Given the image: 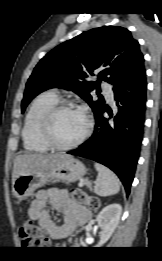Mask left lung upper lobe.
I'll return each instance as SVG.
<instances>
[{
    "mask_svg": "<svg viewBox=\"0 0 162 261\" xmlns=\"http://www.w3.org/2000/svg\"><path fill=\"white\" fill-rule=\"evenodd\" d=\"M143 59L138 41L126 28L103 26L83 32L40 60L27 81L22 113L39 93L58 87L74 91L95 114L104 106V98L98 95L93 101L90 92L102 80L114 85ZM90 75H96L97 81H88Z\"/></svg>",
    "mask_w": 162,
    "mask_h": 261,
    "instance_id": "left-lung-upper-lobe-1",
    "label": "left lung upper lobe"
}]
</instances>
